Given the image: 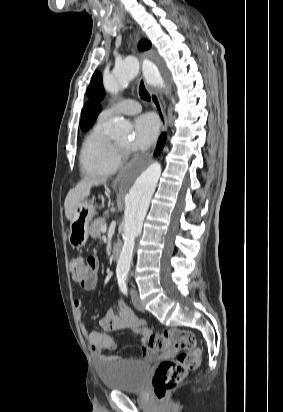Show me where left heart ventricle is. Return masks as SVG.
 Instances as JSON below:
<instances>
[{"label": "left heart ventricle", "mask_w": 283, "mask_h": 412, "mask_svg": "<svg viewBox=\"0 0 283 412\" xmlns=\"http://www.w3.org/2000/svg\"><path fill=\"white\" fill-rule=\"evenodd\" d=\"M118 144L124 146V147H128L130 145V139L129 138H123L120 139L118 141H116Z\"/></svg>", "instance_id": "1"}]
</instances>
